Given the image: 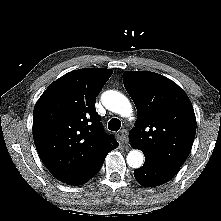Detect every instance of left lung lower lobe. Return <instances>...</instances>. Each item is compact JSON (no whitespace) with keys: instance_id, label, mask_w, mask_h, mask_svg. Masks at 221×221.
Returning <instances> with one entry per match:
<instances>
[{"instance_id":"0a47b994","label":"left lung lower lobe","mask_w":221,"mask_h":221,"mask_svg":"<svg viewBox=\"0 0 221 221\" xmlns=\"http://www.w3.org/2000/svg\"><path fill=\"white\" fill-rule=\"evenodd\" d=\"M177 172V169L159 164L151 158L145 157L143 166L134 171V176L141 185L155 187L168 182Z\"/></svg>"}]
</instances>
